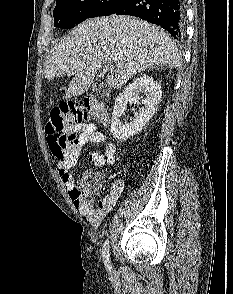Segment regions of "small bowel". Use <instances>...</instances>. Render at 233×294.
Masks as SVG:
<instances>
[{
	"instance_id": "obj_1",
	"label": "small bowel",
	"mask_w": 233,
	"mask_h": 294,
	"mask_svg": "<svg viewBox=\"0 0 233 294\" xmlns=\"http://www.w3.org/2000/svg\"><path fill=\"white\" fill-rule=\"evenodd\" d=\"M70 132L74 135V141L67 149L65 157L57 163V173L64 187L68 190L76 209L93 226H99L123 193L124 182L122 180H115L109 192L95 202L93 200H86L75 193L76 183L70 170L76 166L83 145L90 142L104 145L103 153H92L89 156V163L97 167L113 165L116 147L105 134L97 130L96 125L93 123L75 125Z\"/></svg>"
}]
</instances>
